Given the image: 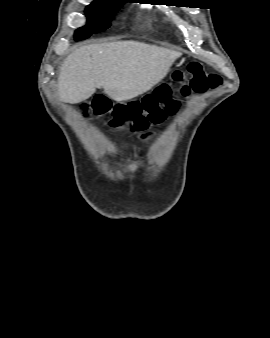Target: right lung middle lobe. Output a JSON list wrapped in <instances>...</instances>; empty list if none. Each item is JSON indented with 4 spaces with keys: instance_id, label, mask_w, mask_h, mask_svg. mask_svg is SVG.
<instances>
[{
    "instance_id": "right-lung-middle-lobe-1",
    "label": "right lung middle lobe",
    "mask_w": 270,
    "mask_h": 338,
    "mask_svg": "<svg viewBox=\"0 0 270 338\" xmlns=\"http://www.w3.org/2000/svg\"><path fill=\"white\" fill-rule=\"evenodd\" d=\"M125 3V0H94L86 7L87 25L75 32V39L88 38L91 33L100 32L110 26L112 16Z\"/></svg>"
}]
</instances>
